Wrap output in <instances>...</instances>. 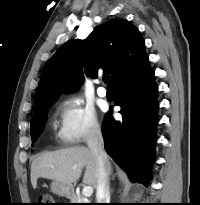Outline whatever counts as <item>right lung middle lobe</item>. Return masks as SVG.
<instances>
[{"label":"right lung middle lobe","mask_w":200,"mask_h":205,"mask_svg":"<svg viewBox=\"0 0 200 205\" xmlns=\"http://www.w3.org/2000/svg\"><path fill=\"white\" fill-rule=\"evenodd\" d=\"M56 99H50L43 102L36 114L31 119V137L32 139H36L38 134L42 133L44 128V122L46 119L45 113L49 109V107L55 102Z\"/></svg>","instance_id":"dd1d6c3e"}]
</instances>
